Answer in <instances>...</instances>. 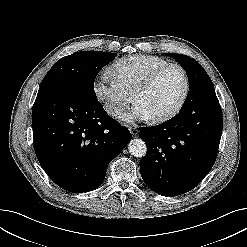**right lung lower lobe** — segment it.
I'll list each match as a JSON object with an SVG mask.
<instances>
[{"mask_svg": "<svg viewBox=\"0 0 247 247\" xmlns=\"http://www.w3.org/2000/svg\"><path fill=\"white\" fill-rule=\"evenodd\" d=\"M32 125L35 153L50 179L70 192H88L104 180L109 164L129 143V130L111 118L76 82L39 89Z\"/></svg>", "mask_w": 247, "mask_h": 247, "instance_id": "1", "label": "right lung lower lobe"}]
</instances>
